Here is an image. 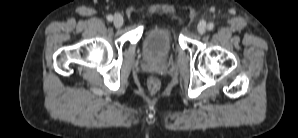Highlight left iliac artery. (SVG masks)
<instances>
[{
	"mask_svg": "<svg viewBox=\"0 0 298 138\" xmlns=\"http://www.w3.org/2000/svg\"><path fill=\"white\" fill-rule=\"evenodd\" d=\"M208 30H213L214 29V24L213 23H209L207 26Z\"/></svg>",
	"mask_w": 298,
	"mask_h": 138,
	"instance_id": "44dca946",
	"label": "left iliac artery"
}]
</instances>
